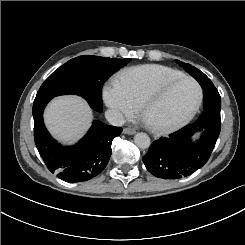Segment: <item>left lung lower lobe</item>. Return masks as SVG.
I'll use <instances>...</instances> for the list:
<instances>
[{
  "label": "left lung lower lobe",
  "instance_id": "1",
  "mask_svg": "<svg viewBox=\"0 0 245 245\" xmlns=\"http://www.w3.org/2000/svg\"><path fill=\"white\" fill-rule=\"evenodd\" d=\"M204 95V110L198 120L152 143L143 162L147 170L162 179H181L201 168L209 159L221 129L220 95L205 76L199 79ZM201 131V137H191Z\"/></svg>",
  "mask_w": 245,
  "mask_h": 245
}]
</instances>
